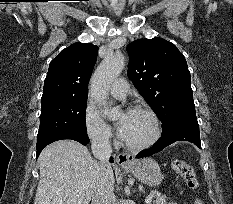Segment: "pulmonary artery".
<instances>
[{"instance_id": "obj_1", "label": "pulmonary artery", "mask_w": 233, "mask_h": 204, "mask_svg": "<svg viewBox=\"0 0 233 204\" xmlns=\"http://www.w3.org/2000/svg\"><path fill=\"white\" fill-rule=\"evenodd\" d=\"M129 91V85L127 81L123 78H119L114 81L110 87V93L113 97L118 99H123L126 97Z\"/></svg>"}]
</instances>
